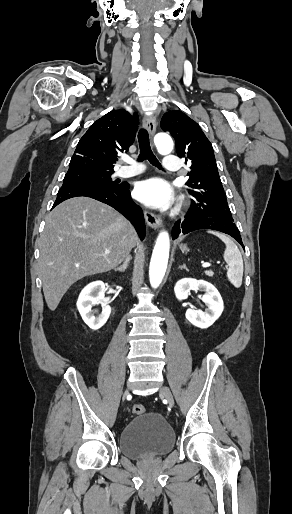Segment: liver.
Segmentation results:
<instances>
[{
  "instance_id": "1",
  "label": "liver",
  "mask_w": 292,
  "mask_h": 514,
  "mask_svg": "<svg viewBox=\"0 0 292 514\" xmlns=\"http://www.w3.org/2000/svg\"><path fill=\"white\" fill-rule=\"evenodd\" d=\"M45 222L39 240V270L52 312L72 284L117 268L137 240L128 220L92 198L66 200L46 216Z\"/></svg>"
}]
</instances>
